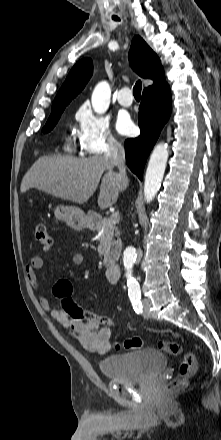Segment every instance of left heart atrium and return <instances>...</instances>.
<instances>
[{
	"label": "left heart atrium",
	"instance_id": "39dd6f15",
	"mask_svg": "<svg viewBox=\"0 0 221 440\" xmlns=\"http://www.w3.org/2000/svg\"><path fill=\"white\" fill-rule=\"evenodd\" d=\"M116 127L117 130L124 135H130L134 130V125L130 117L126 114L120 115L118 117Z\"/></svg>",
	"mask_w": 221,
	"mask_h": 440
}]
</instances>
